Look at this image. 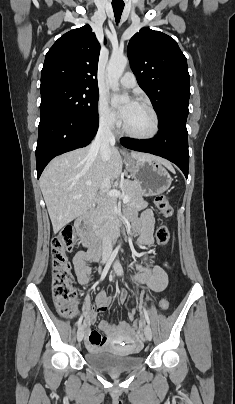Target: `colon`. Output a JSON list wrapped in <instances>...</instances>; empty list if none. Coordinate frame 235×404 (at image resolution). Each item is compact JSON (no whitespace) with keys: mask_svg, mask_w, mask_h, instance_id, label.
I'll use <instances>...</instances> for the list:
<instances>
[{"mask_svg":"<svg viewBox=\"0 0 235 404\" xmlns=\"http://www.w3.org/2000/svg\"><path fill=\"white\" fill-rule=\"evenodd\" d=\"M156 206L164 218L173 215V208L165 195L155 198ZM156 241L160 247H164L170 238V231L166 224L160 225L156 230ZM77 241V235L70 226H66L56 235L51 243L52 247V293L57 312L63 318H72L76 313V292L72 286L73 276L67 252ZM169 306L168 299L164 298L159 303V309L165 311ZM135 328L141 326L139 320L133 323Z\"/></svg>","mask_w":235,"mask_h":404,"instance_id":"colon-1","label":"colon"}]
</instances>
